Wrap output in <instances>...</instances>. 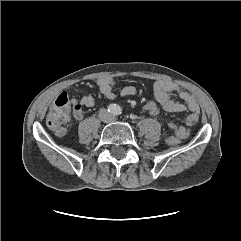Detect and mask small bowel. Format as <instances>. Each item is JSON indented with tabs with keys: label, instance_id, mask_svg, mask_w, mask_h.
Segmentation results:
<instances>
[{
	"label": "small bowel",
	"instance_id": "obj_1",
	"mask_svg": "<svg viewBox=\"0 0 241 241\" xmlns=\"http://www.w3.org/2000/svg\"><path fill=\"white\" fill-rule=\"evenodd\" d=\"M100 92L108 99H114L117 95L126 97L136 94V88L126 86L117 89L112 78L103 77L97 80ZM154 98L156 102L168 112L190 111L197 115L200 107L196 99L189 93L181 90L179 86L168 80H159L154 85ZM73 103H79L82 106L92 108L95 106V100L90 94L83 95L80 99H72ZM76 119H81L83 111L80 110L74 114Z\"/></svg>",
	"mask_w": 241,
	"mask_h": 241
}]
</instances>
